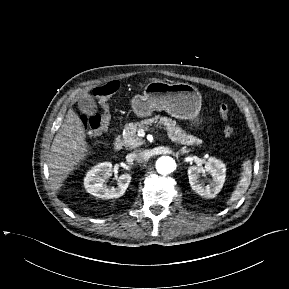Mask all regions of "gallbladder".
Masks as SVG:
<instances>
[{"label": "gallbladder", "mask_w": 289, "mask_h": 289, "mask_svg": "<svg viewBox=\"0 0 289 289\" xmlns=\"http://www.w3.org/2000/svg\"><path fill=\"white\" fill-rule=\"evenodd\" d=\"M79 110L87 117H90L96 113L97 105L91 96L81 98L78 102Z\"/></svg>", "instance_id": "gallbladder-1"}]
</instances>
